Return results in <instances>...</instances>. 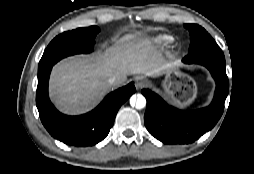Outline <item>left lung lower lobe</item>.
<instances>
[{"label":"left lung lower lobe","instance_id":"left-lung-lower-lobe-1","mask_svg":"<svg viewBox=\"0 0 254 174\" xmlns=\"http://www.w3.org/2000/svg\"><path fill=\"white\" fill-rule=\"evenodd\" d=\"M186 64L205 66L216 82L212 103L196 111H182L169 106L154 92L143 89L147 99L144 122L147 130L165 144L192 143L211 130L218 122L224 110V102L229 91V81L225 63L213 60L185 61Z\"/></svg>","mask_w":254,"mask_h":174}]
</instances>
